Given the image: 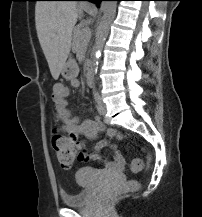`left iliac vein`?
<instances>
[{
	"instance_id": "obj_1",
	"label": "left iliac vein",
	"mask_w": 202,
	"mask_h": 217,
	"mask_svg": "<svg viewBox=\"0 0 202 217\" xmlns=\"http://www.w3.org/2000/svg\"><path fill=\"white\" fill-rule=\"evenodd\" d=\"M97 110L100 115H105L107 108L106 105L102 102L101 98L98 101Z\"/></svg>"
}]
</instances>
